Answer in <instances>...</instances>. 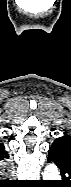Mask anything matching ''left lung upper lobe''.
<instances>
[{
    "label": "left lung upper lobe",
    "instance_id": "left-lung-upper-lobe-1",
    "mask_svg": "<svg viewBox=\"0 0 71 187\" xmlns=\"http://www.w3.org/2000/svg\"><path fill=\"white\" fill-rule=\"evenodd\" d=\"M51 147L58 148L61 151L68 153L71 157V136L65 134L62 137L56 138Z\"/></svg>",
    "mask_w": 71,
    "mask_h": 187
}]
</instances>
